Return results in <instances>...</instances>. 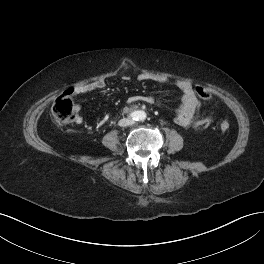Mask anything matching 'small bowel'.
<instances>
[{"mask_svg": "<svg viewBox=\"0 0 264 264\" xmlns=\"http://www.w3.org/2000/svg\"><path fill=\"white\" fill-rule=\"evenodd\" d=\"M124 80H129L128 76L123 77ZM138 80L148 81L153 80L160 83H165L167 79L165 77H150L147 74H141L138 76ZM106 86V82L103 79L77 85L72 89V93L75 95L85 94L95 90L103 89ZM176 87L182 92L181 103L176 110L175 123L183 128H189L197 116L200 102L195 94L192 85L186 81H178ZM145 102L154 103L155 99L151 95H135L128 98V103L133 102ZM77 124L82 123V117L77 116L75 119Z\"/></svg>", "mask_w": 264, "mask_h": 264, "instance_id": "obj_1", "label": "small bowel"}]
</instances>
